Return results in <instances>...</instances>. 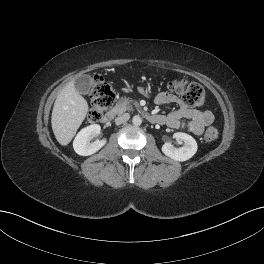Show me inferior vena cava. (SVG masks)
Instances as JSON below:
<instances>
[{
    "instance_id": "1",
    "label": "inferior vena cava",
    "mask_w": 264,
    "mask_h": 264,
    "mask_svg": "<svg viewBox=\"0 0 264 264\" xmlns=\"http://www.w3.org/2000/svg\"><path fill=\"white\" fill-rule=\"evenodd\" d=\"M130 114L129 113H124L118 117L115 118V123L116 125H120L122 123H125L129 120Z\"/></svg>"
}]
</instances>
